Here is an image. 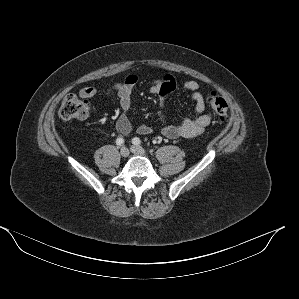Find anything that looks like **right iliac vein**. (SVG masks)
Returning <instances> with one entry per match:
<instances>
[{
	"mask_svg": "<svg viewBox=\"0 0 299 299\" xmlns=\"http://www.w3.org/2000/svg\"><path fill=\"white\" fill-rule=\"evenodd\" d=\"M120 155L122 156V157H128V155H129V150H128V148H126V147H122L121 148V150H120Z\"/></svg>",
	"mask_w": 299,
	"mask_h": 299,
	"instance_id": "1",
	"label": "right iliac vein"
}]
</instances>
